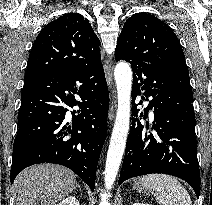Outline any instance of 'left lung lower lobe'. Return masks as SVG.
Here are the masks:
<instances>
[{
    "mask_svg": "<svg viewBox=\"0 0 212 205\" xmlns=\"http://www.w3.org/2000/svg\"><path fill=\"white\" fill-rule=\"evenodd\" d=\"M132 68L133 104L141 93L153 97L144 113L139 114L133 106V115L145 119L153 110L154 132L148 130V123L145 129L138 119H132L119 184L135 176L163 173L185 180L199 197L195 113L188 70L160 61L141 62Z\"/></svg>",
    "mask_w": 212,
    "mask_h": 205,
    "instance_id": "1",
    "label": "left lung lower lobe"
}]
</instances>
